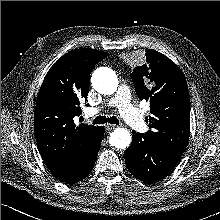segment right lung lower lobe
<instances>
[{
    "mask_svg": "<svg viewBox=\"0 0 220 220\" xmlns=\"http://www.w3.org/2000/svg\"><path fill=\"white\" fill-rule=\"evenodd\" d=\"M104 136V127H98L95 136L80 154V159L77 160L75 167L66 171L63 174L55 175L60 181L66 184H73L81 181L92 171L99 149L101 147V141Z\"/></svg>",
    "mask_w": 220,
    "mask_h": 220,
    "instance_id": "98d812e1",
    "label": "right lung lower lobe"
}]
</instances>
